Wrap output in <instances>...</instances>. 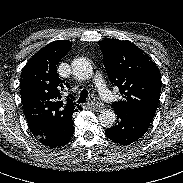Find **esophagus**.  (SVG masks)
Listing matches in <instances>:
<instances>
[{
    "mask_svg": "<svg viewBox=\"0 0 183 183\" xmlns=\"http://www.w3.org/2000/svg\"><path fill=\"white\" fill-rule=\"evenodd\" d=\"M85 108L95 110V111H101L103 109V106L100 103L96 102H88L85 104Z\"/></svg>",
    "mask_w": 183,
    "mask_h": 183,
    "instance_id": "obj_1",
    "label": "esophagus"
}]
</instances>
